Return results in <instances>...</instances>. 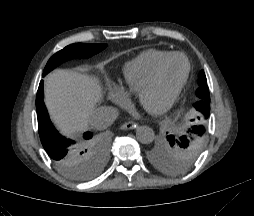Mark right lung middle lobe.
Listing matches in <instances>:
<instances>
[{"mask_svg": "<svg viewBox=\"0 0 254 216\" xmlns=\"http://www.w3.org/2000/svg\"><path fill=\"white\" fill-rule=\"evenodd\" d=\"M107 44H72L68 45L61 51L54 54L48 61L43 75L45 76L48 72L53 70L56 66L61 63L74 59V58H89L104 48ZM84 147V146H83ZM90 157L92 164L89 166L90 172H85L79 163V160L73 161L65 166H57L65 175L75 180H87L96 175L103 167L107 151L106 147L99 142L92 141L90 147Z\"/></svg>", "mask_w": 254, "mask_h": 216, "instance_id": "obj_1", "label": "right lung middle lobe"}]
</instances>
